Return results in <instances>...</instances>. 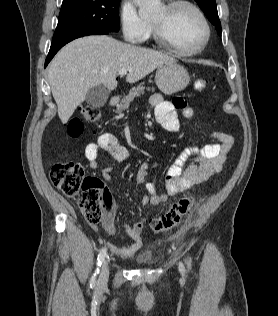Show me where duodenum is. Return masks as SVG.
<instances>
[{
    "instance_id": "410a0bca",
    "label": "duodenum",
    "mask_w": 278,
    "mask_h": 316,
    "mask_svg": "<svg viewBox=\"0 0 278 316\" xmlns=\"http://www.w3.org/2000/svg\"><path fill=\"white\" fill-rule=\"evenodd\" d=\"M119 102V96L114 95L109 99V105L115 106Z\"/></svg>"
}]
</instances>
